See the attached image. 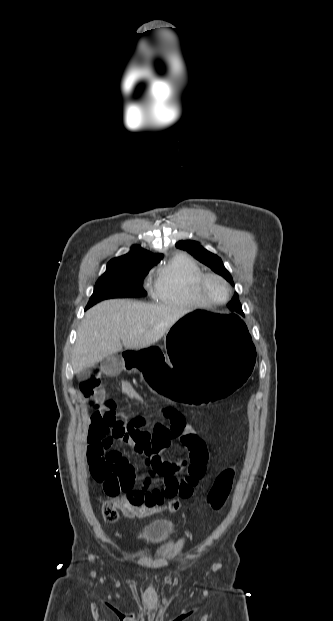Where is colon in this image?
Masks as SVG:
<instances>
[{"label":"colon","mask_w":333,"mask_h":621,"mask_svg":"<svg viewBox=\"0 0 333 621\" xmlns=\"http://www.w3.org/2000/svg\"><path fill=\"white\" fill-rule=\"evenodd\" d=\"M235 471L233 468L223 470L214 481L207 495L208 507L217 511L221 509L231 492ZM93 478L102 485L107 498L102 503V515L105 521L114 523L119 519L120 512L130 517H144L163 509L176 512L180 503L171 500L166 507L159 504L132 507L120 493L135 487L136 475L134 467L127 462L121 469L108 462H101L92 473Z\"/></svg>","instance_id":"1"}]
</instances>
